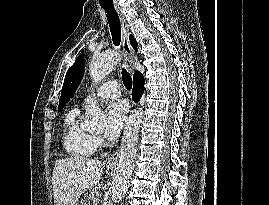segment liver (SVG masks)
<instances>
[{"label":"liver","mask_w":269,"mask_h":205,"mask_svg":"<svg viewBox=\"0 0 269 205\" xmlns=\"http://www.w3.org/2000/svg\"><path fill=\"white\" fill-rule=\"evenodd\" d=\"M103 164L84 157H69L55 162L52 175L55 205H75L82 193L96 186Z\"/></svg>","instance_id":"obj_1"}]
</instances>
